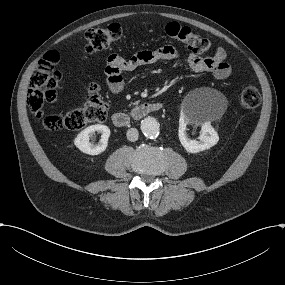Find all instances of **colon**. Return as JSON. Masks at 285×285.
<instances>
[{
    "label": "colon",
    "instance_id": "obj_1",
    "mask_svg": "<svg viewBox=\"0 0 285 285\" xmlns=\"http://www.w3.org/2000/svg\"><path fill=\"white\" fill-rule=\"evenodd\" d=\"M160 31L169 39L184 43L194 53H206L210 49L208 39L195 33L191 28L176 22L162 24ZM122 36L119 24L89 29L85 33L84 51L93 53L114 45ZM60 55L57 51L48 52L34 71L28 90L27 103L43 126L51 131L62 129L79 130L91 123L105 120L109 106L99 93L95 83L88 85V97L77 108L67 113H45L44 106L56 99V88L61 79L57 64ZM241 105L247 110L257 108L261 102L260 92L256 87H245L240 94Z\"/></svg>",
    "mask_w": 285,
    "mask_h": 285
}]
</instances>
